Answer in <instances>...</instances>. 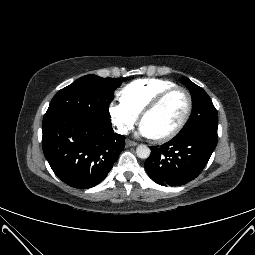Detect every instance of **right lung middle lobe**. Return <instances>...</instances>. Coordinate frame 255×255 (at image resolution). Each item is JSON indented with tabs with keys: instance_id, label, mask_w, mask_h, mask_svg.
<instances>
[{
	"instance_id": "right-lung-middle-lobe-1",
	"label": "right lung middle lobe",
	"mask_w": 255,
	"mask_h": 255,
	"mask_svg": "<svg viewBox=\"0 0 255 255\" xmlns=\"http://www.w3.org/2000/svg\"><path fill=\"white\" fill-rule=\"evenodd\" d=\"M121 85L115 78L86 75L56 93L44 119L56 116H78L99 127H110L109 103L114 90Z\"/></svg>"
}]
</instances>
